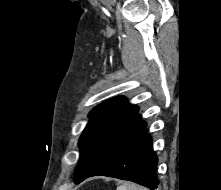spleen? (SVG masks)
Returning a JSON list of instances; mask_svg holds the SVG:
<instances>
[{"mask_svg": "<svg viewBox=\"0 0 221 190\" xmlns=\"http://www.w3.org/2000/svg\"><path fill=\"white\" fill-rule=\"evenodd\" d=\"M117 190H147L135 184L125 183L117 187Z\"/></svg>", "mask_w": 221, "mask_h": 190, "instance_id": "spleen-1", "label": "spleen"}]
</instances>
